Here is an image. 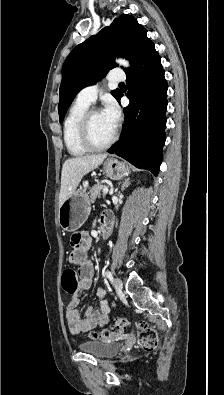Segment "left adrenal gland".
Listing matches in <instances>:
<instances>
[{
    "instance_id": "left-adrenal-gland-1",
    "label": "left adrenal gland",
    "mask_w": 224,
    "mask_h": 395,
    "mask_svg": "<svg viewBox=\"0 0 224 395\" xmlns=\"http://www.w3.org/2000/svg\"><path fill=\"white\" fill-rule=\"evenodd\" d=\"M130 185V179L127 178L123 181L122 186H121V190L123 191L126 187H128Z\"/></svg>"
}]
</instances>
